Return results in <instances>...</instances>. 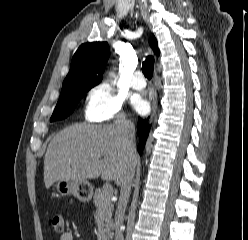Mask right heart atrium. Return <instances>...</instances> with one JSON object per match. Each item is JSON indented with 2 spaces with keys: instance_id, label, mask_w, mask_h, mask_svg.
Returning a JSON list of instances; mask_svg holds the SVG:
<instances>
[{
  "instance_id": "d8ad5b80",
  "label": "right heart atrium",
  "mask_w": 248,
  "mask_h": 240,
  "mask_svg": "<svg viewBox=\"0 0 248 240\" xmlns=\"http://www.w3.org/2000/svg\"><path fill=\"white\" fill-rule=\"evenodd\" d=\"M123 106V99L115 95L109 85L99 83L86 92L84 115L92 122L124 120Z\"/></svg>"
}]
</instances>
